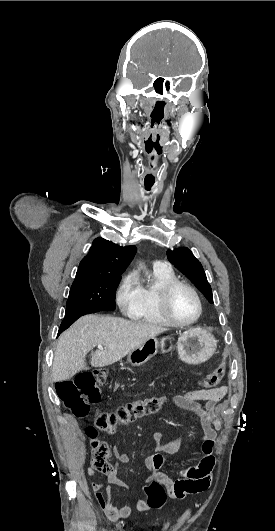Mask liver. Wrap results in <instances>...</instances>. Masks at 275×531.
Masks as SVG:
<instances>
[{"label":"liver","mask_w":275,"mask_h":531,"mask_svg":"<svg viewBox=\"0 0 275 531\" xmlns=\"http://www.w3.org/2000/svg\"><path fill=\"white\" fill-rule=\"evenodd\" d=\"M164 331L169 329L155 323L85 315L59 337L52 367L53 381H66L78 371L88 369L85 357L97 345H102L104 351L98 349L93 353L91 367H106Z\"/></svg>","instance_id":"6515ba94"}]
</instances>
